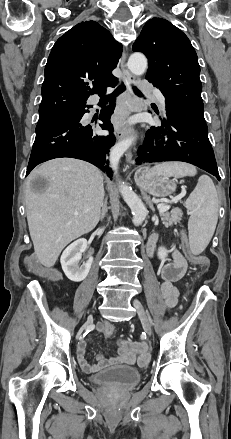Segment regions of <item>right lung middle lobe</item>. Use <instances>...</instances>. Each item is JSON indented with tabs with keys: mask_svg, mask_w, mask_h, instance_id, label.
Instances as JSON below:
<instances>
[{
	"mask_svg": "<svg viewBox=\"0 0 231 439\" xmlns=\"http://www.w3.org/2000/svg\"><path fill=\"white\" fill-rule=\"evenodd\" d=\"M69 113H70V112H69ZM66 114H68V113H65V114L59 115V116L54 117V118H58V117H61V116H63V115H66ZM54 118H51V119H54ZM48 120H50V119H47V120H39L38 123H42V122H45V121H48Z\"/></svg>",
	"mask_w": 231,
	"mask_h": 439,
	"instance_id": "right-lung-middle-lobe-1",
	"label": "right lung middle lobe"
}]
</instances>
